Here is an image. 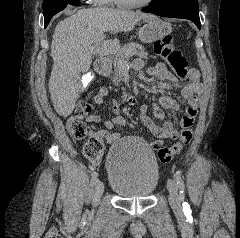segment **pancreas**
I'll return each mask as SVG.
<instances>
[{
  "instance_id": "obj_1",
  "label": "pancreas",
  "mask_w": 240,
  "mask_h": 238,
  "mask_svg": "<svg viewBox=\"0 0 240 238\" xmlns=\"http://www.w3.org/2000/svg\"><path fill=\"white\" fill-rule=\"evenodd\" d=\"M128 53L132 55H138L140 58L147 59L148 53L145 52V49L142 45L134 42H129L122 46L115 58L113 59V83L119 85L123 81V69L128 66V60L131 56H128Z\"/></svg>"
}]
</instances>
